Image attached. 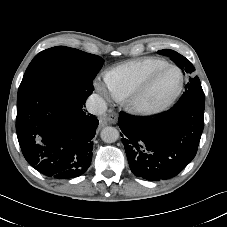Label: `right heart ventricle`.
<instances>
[{"label":"right heart ventricle","mask_w":227,"mask_h":227,"mask_svg":"<svg viewBox=\"0 0 227 227\" xmlns=\"http://www.w3.org/2000/svg\"><path fill=\"white\" fill-rule=\"evenodd\" d=\"M161 58L146 57L118 65L106 73L108 90L117 98L127 97L155 70L167 65Z\"/></svg>","instance_id":"right-heart-ventricle-1"}]
</instances>
